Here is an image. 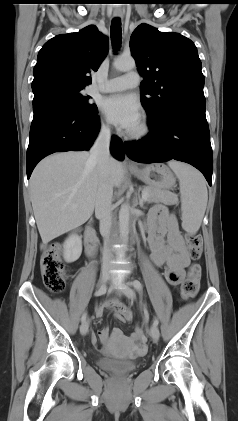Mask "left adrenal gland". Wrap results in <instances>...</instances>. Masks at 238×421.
I'll list each match as a JSON object with an SVG mask.
<instances>
[{"mask_svg":"<svg viewBox=\"0 0 238 421\" xmlns=\"http://www.w3.org/2000/svg\"><path fill=\"white\" fill-rule=\"evenodd\" d=\"M139 204H140V207H141V208H144V207H143V204H142L141 202H140Z\"/></svg>","mask_w":238,"mask_h":421,"instance_id":"obj_1","label":"left adrenal gland"}]
</instances>
